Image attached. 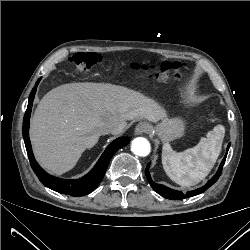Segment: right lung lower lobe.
Returning a JSON list of instances; mask_svg holds the SVG:
<instances>
[{"mask_svg":"<svg viewBox=\"0 0 250 250\" xmlns=\"http://www.w3.org/2000/svg\"><path fill=\"white\" fill-rule=\"evenodd\" d=\"M40 79L36 82L29 96V102L23 120V138L31 167L35 172V174L37 175V177L39 178V180L46 187L61 194H68L74 197L87 195L93 190H95L99 185V183L101 182V180L103 179L105 172L107 170V166L112 156L120 148L126 146L129 143L130 139L126 137H120L114 140L111 144L107 146L104 153L102 154L96 165L92 168V170L80 179L69 180L51 176L45 170H43L34 159V155L29 140V122H30L31 108L36 93L37 85Z\"/></svg>","mask_w":250,"mask_h":250,"instance_id":"98d812e1","label":"right lung lower lobe"}]
</instances>
